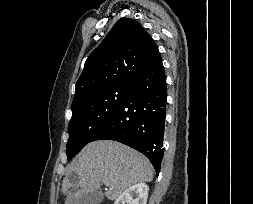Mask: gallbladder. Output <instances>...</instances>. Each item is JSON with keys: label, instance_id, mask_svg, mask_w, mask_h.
<instances>
[{"label": "gallbladder", "instance_id": "1", "mask_svg": "<svg viewBox=\"0 0 253 204\" xmlns=\"http://www.w3.org/2000/svg\"><path fill=\"white\" fill-rule=\"evenodd\" d=\"M103 198V193L96 190L82 195L79 204H99Z\"/></svg>", "mask_w": 253, "mask_h": 204}]
</instances>
